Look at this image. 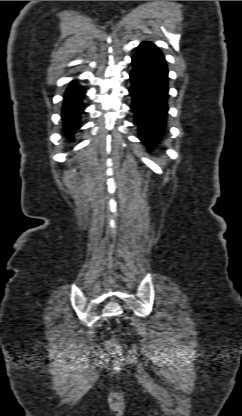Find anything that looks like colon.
<instances>
[{
	"instance_id": "colon-1",
	"label": "colon",
	"mask_w": 242,
	"mask_h": 416,
	"mask_svg": "<svg viewBox=\"0 0 242 416\" xmlns=\"http://www.w3.org/2000/svg\"><path fill=\"white\" fill-rule=\"evenodd\" d=\"M108 345L112 349H117L118 348V343L115 340H110L109 343H108Z\"/></svg>"
}]
</instances>
